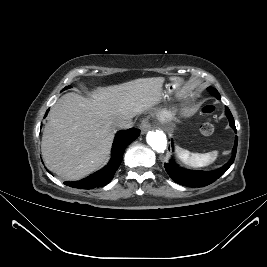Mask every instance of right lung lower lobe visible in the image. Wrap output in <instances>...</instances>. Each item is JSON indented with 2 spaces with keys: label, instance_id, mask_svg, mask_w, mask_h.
Listing matches in <instances>:
<instances>
[{
  "label": "right lung lower lobe",
  "instance_id": "right-lung-lower-lobe-1",
  "mask_svg": "<svg viewBox=\"0 0 267 267\" xmlns=\"http://www.w3.org/2000/svg\"><path fill=\"white\" fill-rule=\"evenodd\" d=\"M47 113L48 111L46 115ZM139 135L140 131L135 128L119 131L115 136L112 146L111 160L105 168L80 181L64 182V184L79 189H93L95 187L105 186L112 180L115 172L119 168L125 148Z\"/></svg>",
  "mask_w": 267,
  "mask_h": 267
}]
</instances>
